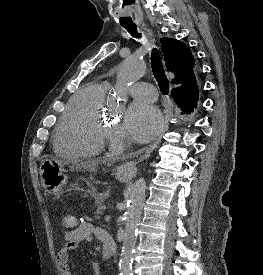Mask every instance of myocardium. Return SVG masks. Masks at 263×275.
<instances>
[{
	"mask_svg": "<svg viewBox=\"0 0 263 275\" xmlns=\"http://www.w3.org/2000/svg\"><path fill=\"white\" fill-rule=\"evenodd\" d=\"M95 133L105 142L111 137L112 128L103 120L102 117H99L96 122Z\"/></svg>",
	"mask_w": 263,
	"mask_h": 275,
	"instance_id": "1",
	"label": "myocardium"
}]
</instances>
